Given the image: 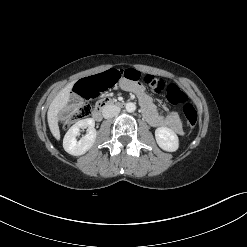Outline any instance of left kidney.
<instances>
[{
    "label": "left kidney",
    "mask_w": 247,
    "mask_h": 247,
    "mask_svg": "<svg viewBox=\"0 0 247 247\" xmlns=\"http://www.w3.org/2000/svg\"><path fill=\"white\" fill-rule=\"evenodd\" d=\"M155 138L159 147L168 152H174L179 147V139L176 133L167 127H159L155 130Z\"/></svg>",
    "instance_id": "5707ae66"
}]
</instances>
